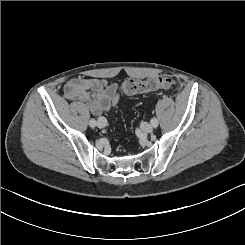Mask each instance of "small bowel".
Instances as JSON below:
<instances>
[{
    "label": "small bowel",
    "mask_w": 245,
    "mask_h": 245,
    "mask_svg": "<svg viewBox=\"0 0 245 245\" xmlns=\"http://www.w3.org/2000/svg\"><path fill=\"white\" fill-rule=\"evenodd\" d=\"M65 95L79 103L83 120L89 114L101 116L119 103L120 92L116 83L97 78H74L65 85Z\"/></svg>",
    "instance_id": "1"
}]
</instances>
